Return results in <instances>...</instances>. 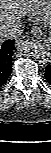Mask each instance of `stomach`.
Here are the masks:
<instances>
[{"label": "stomach", "mask_w": 51, "mask_h": 153, "mask_svg": "<svg viewBox=\"0 0 51 153\" xmlns=\"http://www.w3.org/2000/svg\"><path fill=\"white\" fill-rule=\"evenodd\" d=\"M43 29H45V27ZM40 35L42 36L43 39L46 40V44L48 46H50V44H51V30L47 34L43 31V32H41Z\"/></svg>", "instance_id": "stomach-1"}]
</instances>
